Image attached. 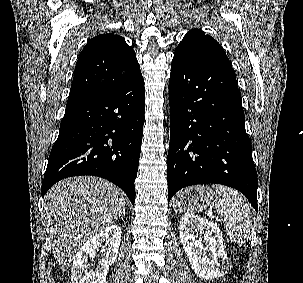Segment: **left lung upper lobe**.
I'll use <instances>...</instances> for the list:
<instances>
[{
	"label": "left lung upper lobe",
	"instance_id": "5c2ea615",
	"mask_svg": "<svg viewBox=\"0 0 303 283\" xmlns=\"http://www.w3.org/2000/svg\"><path fill=\"white\" fill-rule=\"evenodd\" d=\"M174 57L191 62L229 60L221 45L199 29L187 32L177 46Z\"/></svg>",
	"mask_w": 303,
	"mask_h": 283
}]
</instances>
